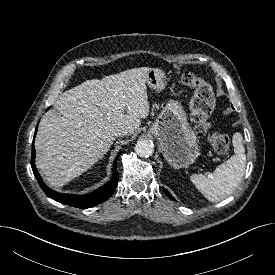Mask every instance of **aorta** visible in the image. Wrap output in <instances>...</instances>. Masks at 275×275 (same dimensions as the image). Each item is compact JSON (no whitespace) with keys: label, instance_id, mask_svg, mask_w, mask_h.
<instances>
[{"label":"aorta","instance_id":"aorta-1","mask_svg":"<svg viewBox=\"0 0 275 275\" xmlns=\"http://www.w3.org/2000/svg\"><path fill=\"white\" fill-rule=\"evenodd\" d=\"M135 152L139 157H149L154 152V144L150 140H139L135 145Z\"/></svg>","mask_w":275,"mask_h":275}]
</instances>
